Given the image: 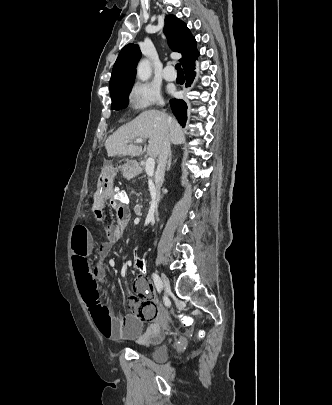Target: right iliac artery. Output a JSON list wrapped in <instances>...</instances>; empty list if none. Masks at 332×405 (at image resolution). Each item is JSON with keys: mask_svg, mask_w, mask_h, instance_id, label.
<instances>
[{"mask_svg": "<svg viewBox=\"0 0 332 405\" xmlns=\"http://www.w3.org/2000/svg\"><path fill=\"white\" fill-rule=\"evenodd\" d=\"M153 281H154V284L156 286V289H157L158 293H161L162 282H161V279L159 278V276L157 274H155V273H153Z\"/></svg>", "mask_w": 332, "mask_h": 405, "instance_id": "obj_1", "label": "right iliac artery"}]
</instances>
